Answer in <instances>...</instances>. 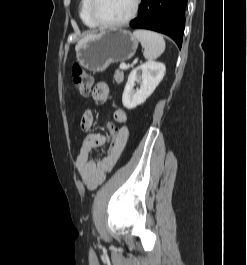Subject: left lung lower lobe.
I'll use <instances>...</instances> for the list:
<instances>
[{"instance_id":"0a47b994","label":"left lung lower lobe","mask_w":247,"mask_h":265,"mask_svg":"<svg viewBox=\"0 0 247 265\" xmlns=\"http://www.w3.org/2000/svg\"><path fill=\"white\" fill-rule=\"evenodd\" d=\"M187 0H142L139 15L130 26L170 36L181 48Z\"/></svg>"}]
</instances>
